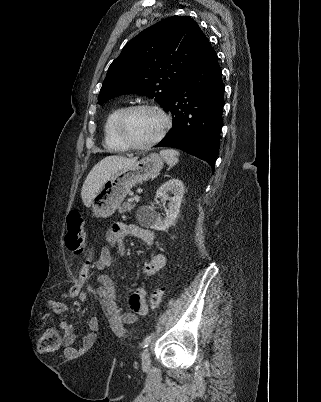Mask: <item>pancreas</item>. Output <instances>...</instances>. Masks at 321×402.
<instances>
[{"instance_id":"1","label":"pancreas","mask_w":321,"mask_h":402,"mask_svg":"<svg viewBox=\"0 0 321 402\" xmlns=\"http://www.w3.org/2000/svg\"><path fill=\"white\" fill-rule=\"evenodd\" d=\"M134 200H128L122 204V206L119 208L120 213H125V212H130L134 207L135 203L133 202Z\"/></svg>"}]
</instances>
